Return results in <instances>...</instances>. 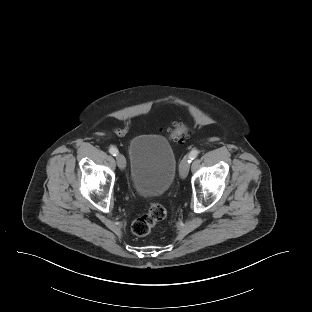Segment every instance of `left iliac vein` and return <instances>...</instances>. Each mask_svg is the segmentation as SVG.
<instances>
[{
  "label": "left iliac vein",
  "mask_w": 312,
  "mask_h": 312,
  "mask_svg": "<svg viewBox=\"0 0 312 312\" xmlns=\"http://www.w3.org/2000/svg\"><path fill=\"white\" fill-rule=\"evenodd\" d=\"M189 158L186 156L182 159L179 166V174L182 179L186 178L189 171Z\"/></svg>",
  "instance_id": "obj_1"
}]
</instances>
